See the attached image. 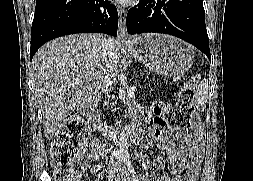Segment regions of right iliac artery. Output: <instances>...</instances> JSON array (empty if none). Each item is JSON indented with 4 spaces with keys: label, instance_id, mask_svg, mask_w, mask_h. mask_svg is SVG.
<instances>
[{
    "label": "right iliac artery",
    "instance_id": "obj_1",
    "mask_svg": "<svg viewBox=\"0 0 253 181\" xmlns=\"http://www.w3.org/2000/svg\"><path fill=\"white\" fill-rule=\"evenodd\" d=\"M112 180H113V176H109L108 181H112Z\"/></svg>",
    "mask_w": 253,
    "mask_h": 181
}]
</instances>
